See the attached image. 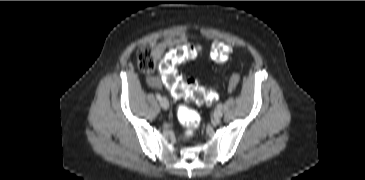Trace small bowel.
<instances>
[{
  "instance_id": "obj_1",
  "label": "small bowel",
  "mask_w": 365,
  "mask_h": 180,
  "mask_svg": "<svg viewBox=\"0 0 365 180\" xmlns=\"http://www.w3.org/2000/svg\"><path fill=\"white\" fill-rule=\"evenodd\" d=\"M188 39V35L185 33L180 34L177 38H168L154 45L155 57L160 59L168 50H173L174 48L180 46ZM168 52L167 56L169 55ZM166 56V57H167ZM147 82L152 87H160L161 80L156 76H149Z\"/></svg>"
}]
</instances>
